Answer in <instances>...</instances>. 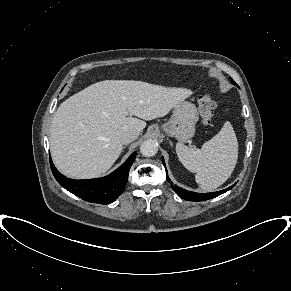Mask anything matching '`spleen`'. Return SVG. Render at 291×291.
Wrapping results in <instances>:
<instances>
[{"label": "spleen", "mask_w": 291, "mask_h": 291, "mask_svg": "<svg viewBox=\"0 0 291 291\" xmlns=\"http://www.w3.org/2000/svg\"><path fill=\"white\" fill-rule=\"evenodd\" d=\"M176 153L184 167L196 173L195 180L200 187L208 191L221 186L231 176L238 159V141L227 121L201 149L178 143Z\"/></svg>", "instance_id": "1"}]
</instances>
